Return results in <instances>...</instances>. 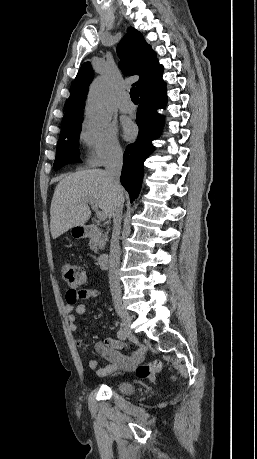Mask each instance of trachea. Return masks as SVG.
I'll return each mask as SVG.
<instances>
[{
  "label": "trachea",
  "mask_w": 257,
  "mask_h": 459,
  "mask_svg": "<svg viewBox=\"0 0 257 459\" xmlns=\"http://www.w3.org/2000/svg\"><path fill=\"white\" fill-rule=\"evenodd\" d=\"M130 97L132 101H137V102L139 101V94H138V90L136 87L131 88Z\"/></svg>",
  "instance_id": "obj_1"
}]
</instances>
